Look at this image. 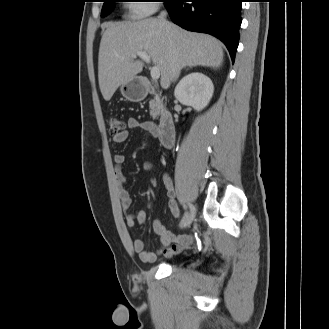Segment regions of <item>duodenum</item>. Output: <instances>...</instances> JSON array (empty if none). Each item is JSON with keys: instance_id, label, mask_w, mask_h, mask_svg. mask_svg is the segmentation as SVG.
Listing matches in <instances>:
<instances>
[{"instance_id": "410a0bca", "label": "duodenum", "mask_w": 329, "mask_h": 329, "mask_svg": "<svg viewBox=\"0 0 329 329\" xmlns=\"http://www.w3.org/2000/svg\"><path fill=\"white\" fill-rule=\"evenodd\" d=\"M148 92H153V86L150 81L147 82ZM176 130L173 116L170 112L164 111L159 118V139L163 147L171 148L174 145Z\"/></svg>"}]
</instances>
